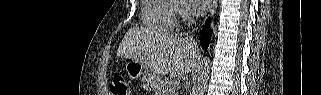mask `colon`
I'll return each instance as SVG.
<instances>
[{
    "mask_svg": "<svg viewBox=\"0 0 321 95\" xmlns=\"http://www.w3.org/2000/svg\"><path fill=\"white\" fill-rule=\"evenodd\" d=\"M110 90L116 95H130V88L122 76L116 75L110 83Z\"/></svg>",
    "mask_w": 321,
    "mask_h": 95,
    "instance_id": "colon-1",
    "label": "colon"
}]
</instances>
